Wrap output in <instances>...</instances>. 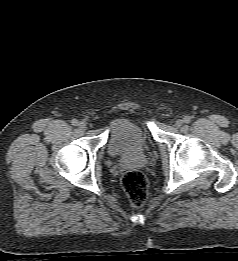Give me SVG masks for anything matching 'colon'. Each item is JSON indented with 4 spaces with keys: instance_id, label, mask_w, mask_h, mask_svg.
Wrapping results in <instances>:
<instances>
[{
    "instance_id": "5ec220e1",
    "label": "colon",
    "mask_w": 238,
    "mask_h": 261,
    "mask_svg": "<svg viewBox=\"0 0 238 261\" xmlns=\"http://www.w3.org/2000/svg\"><path fill=\"white\" fill-rule=\"evenodd\" d=\"M122 186L130 203L140 207L147 199L148 185L144 174L139 170H129L122 177Z\"/></svg>"
}]
</instances>
